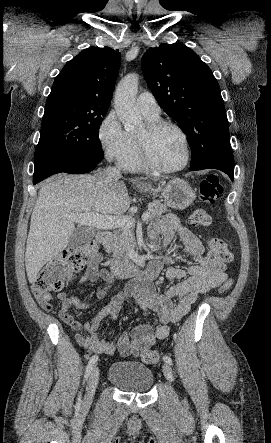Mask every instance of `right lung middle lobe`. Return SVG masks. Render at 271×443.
Returning <instances> with one entry per match:
<instances>
[{
    "label": "right lung middle lobe",
    "mask_w": 271,
    "mask_h": 443,
    "mask_svg": "<svg viewBox=\"0 0 271 443\" xmlns=\"http://www.w3.org/2000/svg\"><path fill=\"white\" fill-rule=\"evenodd\" d=\"M106 112L67 101L46 104L34 164L61 153L102 159L98 130Z\"/></svg>",
    "instance_id": "1"
}]
</instances>
